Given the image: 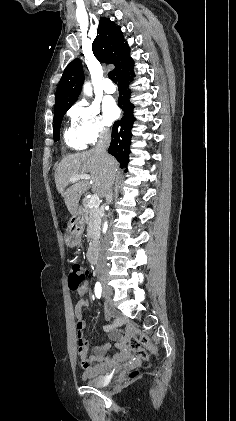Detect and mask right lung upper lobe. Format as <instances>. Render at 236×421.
<instances>
[{
    "label": "right lung upper lobe",
    "mask_w": 236,
    "mask_h": 421,
    "mask_svg": "<svg viewBox=\"0 0 236 421\" xmlns=\"http://www.w3.org/2000/svg\"><path fill=\"white\" fill-rule=\"evenodd\" d=\"M124 38L119 27L107 18H101L97 30V36L92 44L95 57L105 63L115 66V74L132 59L130 49L124 44ZM84 73L79 59H74L64 70L59 82L54 110L66 106H72L82 88Z\"/></svg>",
    "instance_id": "cb5924a9"
}]
</instances>
